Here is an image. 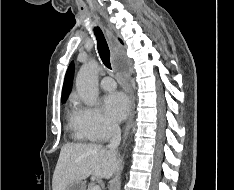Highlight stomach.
<instances>
[{
	"instance_id": "0dacf381",
	"label": "stomach",
	"mask_w": 234,
	"mask_h": 190,
	"mask_svg": "<svg viewBox=\"0 0 234 190\" xmlns=\"http://www.w3.org/2000/svg\"><path fill=\"white\" fill-rule=\"evenodd\" d=\"M65 190H86V185L83 181H74Z\"/></svg>"
}]
</instances>
